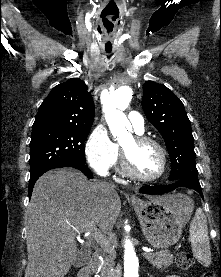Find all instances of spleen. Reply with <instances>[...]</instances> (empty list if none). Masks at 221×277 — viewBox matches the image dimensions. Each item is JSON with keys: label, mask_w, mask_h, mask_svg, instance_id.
Returning a JSON list of instances; mask_svg holds the SVG:
<instances>
[{"label": "spleen", "mask_w": 221, "mask_h": 277, "mask_svg": "<svg viewBox=\"0 0 221 277\" xmlns=\"http://www.w3.org/2000/svg\"><path fill=\"white\" fill-rule=\"evenodd\" d=\"M189 232L193 255L201 264L209 266L211 263L210 242L207 221L202 210L196 211Z\"/></svg>", "instance_id": "spleen-1"}]
</instances>
